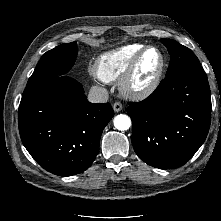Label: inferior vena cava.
I'll list each match as a JSON object with an SVG mask.
<instances>
[{"mask_svg":"<svg viewBox=\"0 0 221 221\" xmlns=\"http://www.w3.org/2000/svg\"><path fill=\"white\" fill-rule=\"evenodd\" d=\"M109 94L107 89L99 86L91 87L88 94V101L92 103H105L108 101Z\"/></svg>","mask_w":221,"mask_h":221,"instance_id":"1","label":"inferior vena cava"}]
</instances>
